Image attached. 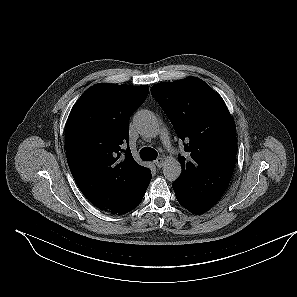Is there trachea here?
<instances>
[{
	"mask_svg": "<svg viewBox=\"0 0 297 297\" xmlns=\"http://www.w3.org/2000/svg\"><path fill=\"white\" fill-rule=\"evenodd\" d=\"M158 156V153L153 148H142L140 150V157L142 160L149 161L155 160Z\"/></svg>",
	"mask_w": 297,
	"mask_h": 297,
	"instance_id": "obj_1",
	"label": "trachea"
}]
</instances>
